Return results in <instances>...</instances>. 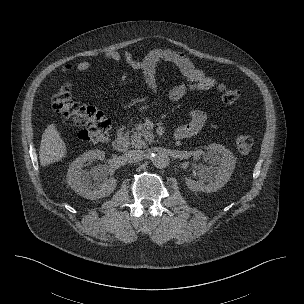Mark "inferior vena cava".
Instances as JSON below:
<instances>
[{"instance_id":"obj_1","label":"inferior vena cava","mask_w":304,"mask_h":304,"mask_svg":"<svg viewBox=\"0 0 304 304\" xmlns=\"http://www.w3.org/2000/svg\"><path fill=\"white\" fill-rule=\"evenodd\" d=\"M126 157L130 160H140L143 156L142 150H130L125 153Z\"/></svg>"}]
</instances>
